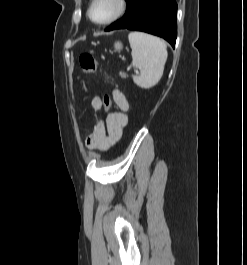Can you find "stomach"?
I'll return each mask as SVG.
<instances>
[{
  "mask_svg": "<svg viewBox=\"0 0 247 265\" xmlns=\"http://www.w3.org/2000/svg\"><path fill=\"white\" fill-rule=\"evenodd\" d=\"M114 48H115V51L120 52L122 50V48H123V45H122L121 42H115Z\"/></svg>",
  "mask_w": 247,
  "mask_h": 265,
  "instance_id": "stomach-1",
  "label": "stomach"
}]
</instances>
